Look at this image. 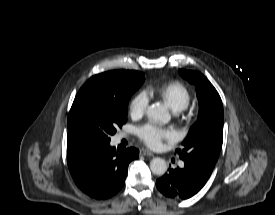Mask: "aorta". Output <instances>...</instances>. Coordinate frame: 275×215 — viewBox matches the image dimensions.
<instances>
[{
    "instance_id": "obj_1",
    "label": "aorta",
    "mask_w": 275,
    "mask_h": 215,
    "mask_svg": "<svg viewBox=\"0 0 275 215\" xmlns=\"http://www.w3.org/2000/svg\"><path fill=\"white\" fill-rule=\"evenodd\" d=\"M147 116L155 122L166 123L170 120L167 109L159 104H153L147 108ZM150 169L155 175H164L167 171V164L162 158H153L150 161Z\"/></svg>"
}]
</instances>
